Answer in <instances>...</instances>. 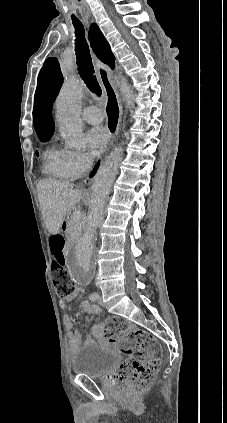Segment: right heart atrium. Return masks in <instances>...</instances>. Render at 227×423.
Segmentation results:
<instances>
[{
	"label": "right heart atrium",
	"mask_w": 227,
	"mask_h": 423,
	"mask_svg": "<svg viewBox=\"0 0 227 423\" xmlns=\"http://www.w3.org/2000/svg\"><path fill=\"white\" fill-rule=\"evenodd\" d=\"M61 166L65 178L75 179L90 171L93 166V158L81 150L64 149L62 150Z\"/></svg>",
	"instance_id": "1"
}]
</instances>
